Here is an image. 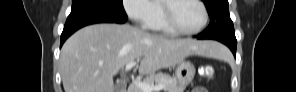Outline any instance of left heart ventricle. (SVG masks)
<instances>
[{
	"mask_svg": "<svg viewBox=\"0 0 296 92\" xmlns=\"http://www.w3.org/2000/svg\"><path fill=\"white\" fill-rule=\"evenodd\" d=\"M172 15L176 24L184 30H194L203 21L201 7L192 0L177 2L173 6Z\"/></svg>",
	"mask_w": 296,
	"mask_h": 92,
	"instance_id": "obj_1",
	"label": "left heart ventricle"
}]
</instances>
